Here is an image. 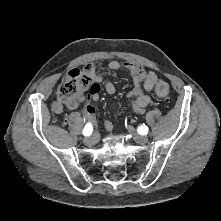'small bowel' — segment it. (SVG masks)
Instances as JSON below:
<instances>
[{
  "label": "small bowel",
  "mask_w": 221,
  "mask_h": 221,
  "mask_svg": "<svg viewBox=\"0 0 221 221\" xmlns=\"http://www.w3.org/2000/svg\"><path fill=\"white\" fill-rule=\"evenodd\" d=\"M85 69L94 81V84L90 85L87 89L88 97L84 105L83 115L89 122H94L95 107L93 102L99 99L100 89L98 84L103 81V77L92 64H88ZM108 69L112 71L124 69L131 74L134 87L128 93V97L131 99L134 111L137 114H143L145 108L152 102L149 92L157 83V75L153 71H148L134 62L111 61L108 64ZM105 91L110 95L115 93L116 88L112 81L108 80L105 83ZM78 106L79 100L76 99L59 100L54 103L53 108L56 113H61L64 107L69 110H75ZM105 127L108 131L112 130V124L109 121H105Z\"/></svg>",
  "instance_id": "obj_1"
}]
</instances>
